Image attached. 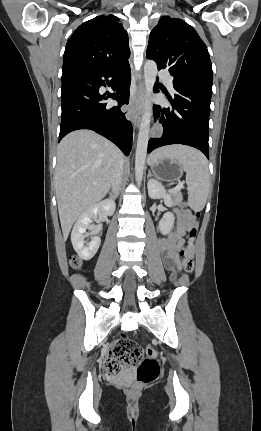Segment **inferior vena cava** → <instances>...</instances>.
<instances>
[{"label":"inferior vena cava","instance_id":"obj_1","mask_svg":"<svg viewBox=\"0 0 261 431\" xmlns=\"http://www.w3.org/2000/svg\"><path fill=\"white\" fill-rule=\"evenodd\" d=\"M122 173H123V161H120L118 166H117L116 173L113 177L112 183H111V188H112L111 196L112 197H117L119 194V189H120L121 180H122Z\"/></svg>","mask_w":261,"mask_h":431}]
</instances>
